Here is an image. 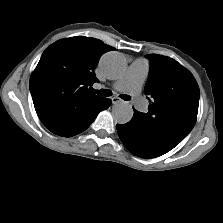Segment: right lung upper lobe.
<instances>
[{"mask_svg": "<svg viewBox=\"0 0 223 223\" xmlns=\"http://www.w3.org/2000/svg\"><path fill=\"white\" fill-rule=\"evenodd\" d=\"M114 48L102 41L76 36L50 45L30 78L35 110L47 129L77 132L94 118L105 98L89 90L97 81L94 69Z\"/></svg>", "mask_w": 223, "mask_h": 223, "instance_id": "1", "label": "right lung upper lobe"}]
</instances>
